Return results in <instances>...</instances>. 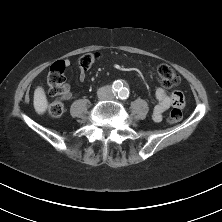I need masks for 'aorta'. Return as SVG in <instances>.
<instances>
[{"instance_id": "aorta-1", "label": "aorta", "mask_w": 222, "mask_h": 222, "mask_svg": "<svg viewBox=\"0 0 222 222\" xmlns=\"http://www.w3.org/2000/svg\"><path fill=\"white\" fill-rule=\"evenodd\" d=\"M115 88L117 89L118 95L121 98H125L128 95V93H129L128 89L123 87L120 83H116L115 84Z\"/></svg>"}]
</instances>
